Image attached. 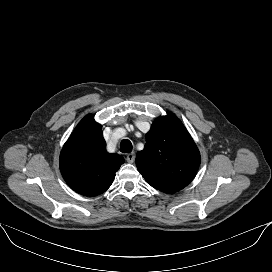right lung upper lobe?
Returning a JSON list of instances; mask_svg holds the SVG:
<instances>
[{
    "label": "right lung upper lobe",
    "instance_id": "obj_1",
    "mask_svg": "<svg viewBox=\"0 0 272 272\" xmlns=\"http://www.w3.org/2000/svg\"><path fill=\"white\" fill-rule=\"evenodd\" d=\"M101 126L91 114L84 117L65 143L60 154V171L77 193L96 196L112 184L124 163L116 153H108Z\"/></svg>",
    "mask_w": 272,
    "mask_h": 272
}]
</instances>
